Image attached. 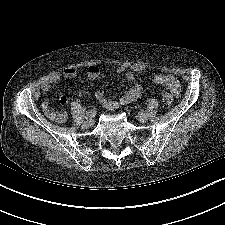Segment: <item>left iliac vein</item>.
Listing matches in <instances>:
<instances>
[{
  "instance_id": "obj_1",
  "label": "left iliac vein",
  "mask_w": 225,
  "mask_h": 225,
  "mask_svg": "<svg viewBox=\"0 0 225 225\" xmlns=\"http://www.w3.org/2000/svg\"><path fill=\"white\" fill-rule=\"evenodd\" d=\"M137 120L144 123L148 120V116L145 113H140L137 115Z\"/></svg>"
}]
</instances>
